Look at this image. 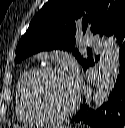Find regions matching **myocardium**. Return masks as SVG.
Here are the masks:
<instances>
[{
  "instance_id": "f54148a6",
  "label": "myocardium",
  "mask_w": 125,
  "mask_h": 128,
  "mask_svg": "<svg viewBox=\"0 0 125 128\" xmlns=\"http://www.w3.org/2000/svg\"><path fill=\"white\" fill-rule=\"evenodd\" d=\"M53 75H66V73L58 67L41 68L30 77L26 87L27 98L32 109L46 122H58L68 118L76 112L80 104V94L77 92L73 104L62 112L53 113L44 107L38 97V87L43 80Z\"/></svg>"
}]
</instances>
